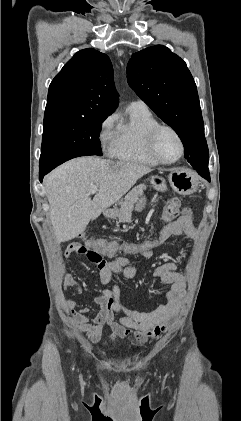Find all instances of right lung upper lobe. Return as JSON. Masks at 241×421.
I'll return each instance as SVG.
<instances>
[{
    "label": "right lung upper lobe",
    "mask_w": 241,
    "mask_h": 421,
    "mask_svg": "<svg viewBox=\"0 0 241 421\" xmlns=\"http://www.w3.org/2000/svg\"><path fill=\"white\" fill-rule=\"evenodd\" d=\"M117 105L109 57L88 48L77 52L51 82L45 113L110 115Z\"/></svg>",
    "instance_id": "cb5924a9"
}]
</instances>
